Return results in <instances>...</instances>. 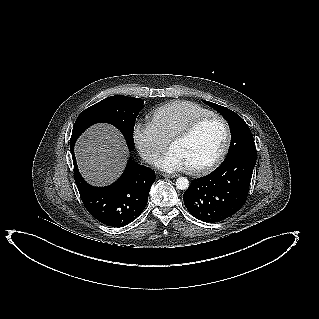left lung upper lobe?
Returning <instances> with one entry per match:
<instances>
[{
  "label": "left lung upper lobe",
  "instance_id": "1",
  "mask_svg": "<svg viewBox=\"0 0 319 319\" xmlns=\"http://www.w3.org/2000/svg\"><path fill=\"white\" fill-rule=\"evenodd\" d=\"M202 101L218 111L228 121L231 130V143L228 154L223 162L240 156L257 158L253 136L245 121L226 107L205 100Z\"/></svg>",
  "mask_w": 319,
  "mask_h": 319
}]
</instances>
